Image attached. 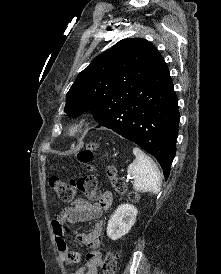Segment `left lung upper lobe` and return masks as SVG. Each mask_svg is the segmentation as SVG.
Returning <instances> with one entry per match:
<instances>
[{
    "label": "left lung upper lobe",
    "mask_w": 221,
    "mask_h": 274,
    "mask_svg": "<svg viewBox=\"0 0 221 274\" xmlns=\"http://www.w3.org/2000/svg\"><path fill=\"white\" fill-rule=\"evenodd\" d=\"M163 63L147 40L123 39L79 73L66 95L64 112L74 117L91 111L97 118L140 94Z\"/></svg>",
    "instance_id": "left-lung-upper-lobe-1"
}]
</instances>
